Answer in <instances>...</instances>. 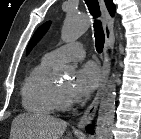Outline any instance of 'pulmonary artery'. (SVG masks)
I'll return each instance as SVG.
<instances>
[{"label": "pulmonary artery", "mask_w": 141, "mask_h": 139, "mask_svg": "<svg viewBox=\"0 0 141 139\" xmlns=\"http://www.w3.org/2000/svg\"><path fill=\"white\" fill-rule=\"evenodd\" d=\"M85 57V49L81 43H69L48 52L44 58L53 64L78 61Z\"/></svg>", "instance_id": "1"}]
</instances>
